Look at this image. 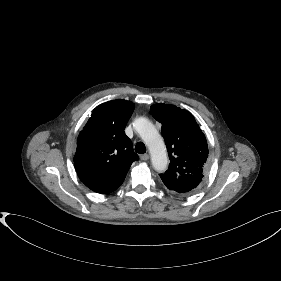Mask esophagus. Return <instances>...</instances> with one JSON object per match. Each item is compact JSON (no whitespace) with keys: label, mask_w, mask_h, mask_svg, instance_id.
<instances>
[{"label":"esophagus","mask_w":281,"mask_h":281,"mask_svg":"<svg viewBox=\"0 0 281 281\" xmlns=\"http://www.w3.org/2000/svg\"><path fill=\"white\" fill-rule=\"evenodd\" d=\"M140 159H141L142 161H147V160L149 159V155H148V154H142V155L140 156Z\"/></svg>","instance_id":"obj_1"}]
</instances>
